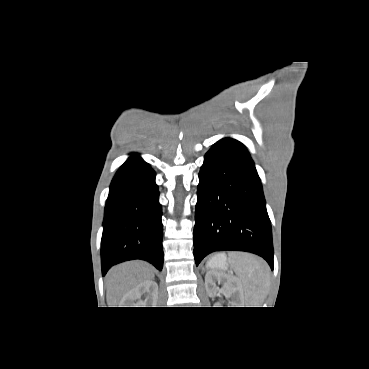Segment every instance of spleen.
Wrapping results in <instances>:
<instances>
[{
  "mask_svg": "<svg viewBox=\"0 0 369 369\" xmlns=\"http://www.w3.org/2000/svg\"><path fill=\"white\" fill-rule=\"evenodd\" d=\"M229 260L238 276L245 300L250 305L248 307H261L269 288L268 265L248 253L232 252L229 254Z\"/></svg>",
  "mask_w": 369,
  "mask_h": 369,
  "instance_id": "1",
  "label": "spleen"
}]
</instances>
